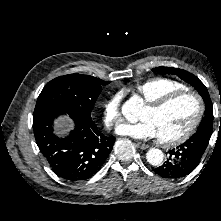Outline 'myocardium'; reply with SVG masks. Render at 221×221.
Segmentation results:
<instances>
[{
  "label": "myocardium",
  "instance_id": "1",
  "mask_svg": "<svg viewBox=\"0 0 221 221\" xmlns=\"http://www.w3.org/2000/svg\"><path fill=\"white\" fill-rule=\"evenodd\" d=\"M183 96H191L194 98V100L196 101V104H197L196 115H195L193 121L191 122V124L180 135H178L174 138H171V139H166V140L158 138L159 143L162 145L175 146V145L185 142L188 138L191 137V135L195 132V130L197 129V127L199 126V124L202 120L204 110H205L204 101H203L202 97L197 92L190 90V89H185V90H178L175 92L168 93V94L160 97L159 99L146 104V107L149 108L150 110L159 111V110H162L163 108H165L171 102H173L176 99L183 97Z\"/></svg>",
  "mask_w": 221,
  "mask_h": 221
}]
</instances>
